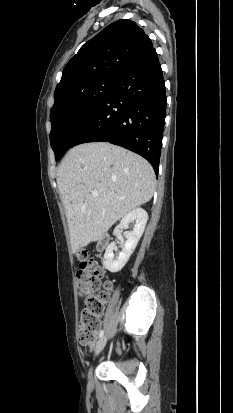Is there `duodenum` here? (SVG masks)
<instances>
[{
  "mask_svg": "<svg viewBox=\"0 0 233 413\" xmlns=\"http://www.w3.org/2000/svg\"><path fill=\"white\" fill-rule=\"evenodd\" d=\"M107 242H108L107 236H105V235L102 236V237L98 240L97 249L100 250V251L103 250V249L105 248Z\"/></svg>",
  "mask_w": 233,
  "mask_h": 413,
  "instance_id": "duodenum-1",
  "label": "duodenum"
}]
</instances>
